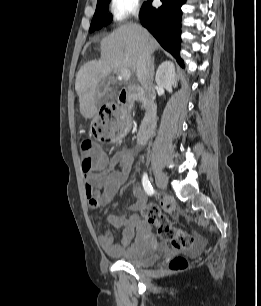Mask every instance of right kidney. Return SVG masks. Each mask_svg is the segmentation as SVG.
<instances>
[{
  "label": "right kidney",
  "mask_w": 261,
  "mask_h": 306,
  "mask_svg": "<svg viewBox=\"0 0 261 306\" xmlns=\"http://www.w3.org/2000/svg\"><path fill=\"white\" fill-rule=\"evenodd\" d=\"M155 80L158 86L172 92V86H176L174 64L170 61L163 62L157 69Z\"/></svg>",
  "instance_id": "obj_1"
}]
</instances>
